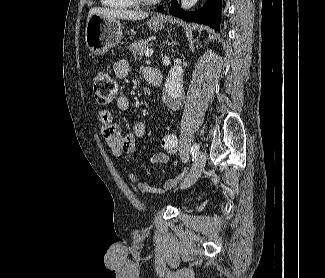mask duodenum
<instances>
[{"mask_svg":"<svg viewBox=\"0 0 325 278\" xmlns=\"http://www.w3.org/2000/svg\"><path fill=\"white\" fill-rule=\"evenodd\" d=\"M146 78L150 84H152L154 87H161L162 85V75L161 72L153 69L148 68L146 71Z\"/></svg>","mask_w":325,"mask_h":278,"instance_id":"1","label":"duodenum"}]
</instances>
